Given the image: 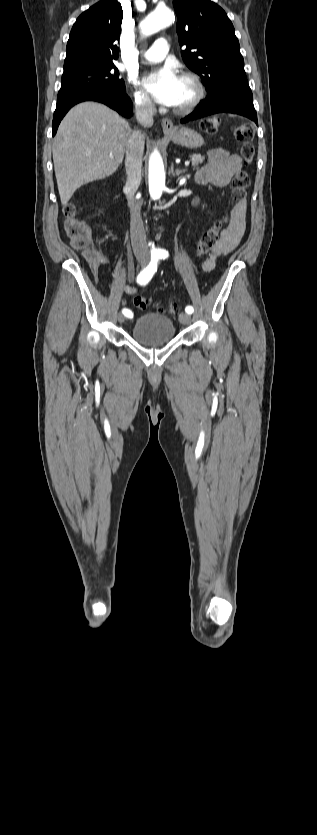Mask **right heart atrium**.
<instances>
[{
	"label": "right heart atrium",
	"instance_id": "d8ad5b80",
	"mask_svg": "<svg viewBox=\"0 0 317 835\" xmlns=\"http://www.w3.org/2000/svg\"><path fill=\"white\" fill-rule=\"evenodd\" d=\"M130 84L133 102L136 109L140 113H151L154 110V105L150 98L143 91L139 90L133 81H131Z\"/></svg>",
	"mask_w": 317,
	"mask_h": 835
}]
</instances>
